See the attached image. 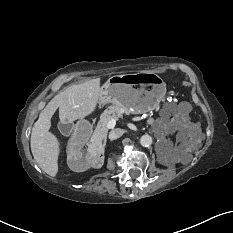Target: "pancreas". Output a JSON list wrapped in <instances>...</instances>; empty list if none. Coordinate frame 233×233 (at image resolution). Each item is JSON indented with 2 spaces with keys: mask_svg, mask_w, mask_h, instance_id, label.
I'll return each mask as SVG.
<instances>
[{
  "mask_svg": "<svg viewBox=\"0 0 233 233\" xmlns=\"http://www.w3.org/2000/svg\"><path fill=\"white\" fill-rule=\"evenodd\" d=\"M172 109L176 110V107H172ZM126 113L129 114L130 112L124 108L119 106H110L108 109H106L102 115L101 120L99 122L98 128L95 130L93 134L92 141L96 140L97 138H102L107 133L106 124L110 120L117 121L120 117H122V114Z\"/></svg>",
  "mask_w": 233,
  "mask_h": 233,
  "instance_id": "pancreas-1",
  "label": "pancreas"
}]
</instances>
